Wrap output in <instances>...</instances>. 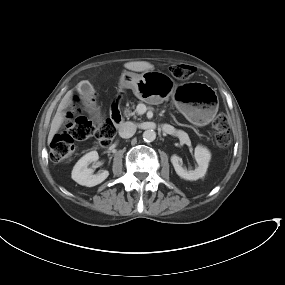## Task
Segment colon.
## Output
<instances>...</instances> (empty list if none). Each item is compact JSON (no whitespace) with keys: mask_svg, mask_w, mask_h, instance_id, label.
Here are the masks:
<instances>
[{"mask_svg":"<svg viewBox=\"0 0 285 285\" xmlns=\"http://www.w3.org/2000/svg\"><path fill=\"white\" fill-rule=\"evenodd\" d=\"M196 69L191 65L173 64L169 67L170 75L178 80L190 79ZM74 113L69 114L68 121L61 132L51 141V159L55 163L67 161L75 150L77 142H83L94 137L100 146H107L113 140L117 125L111 120L103 121L99 126L94 125L86 117H78L81 112V104L77 98L73 99ZM212 136L219 147H225L230 142V125L228 118L220 114L212 124Z\"/></svg>","mask_w":285,"mask_h":285,"instance_id":"colon-1","label":"colon"}]
</instances>
